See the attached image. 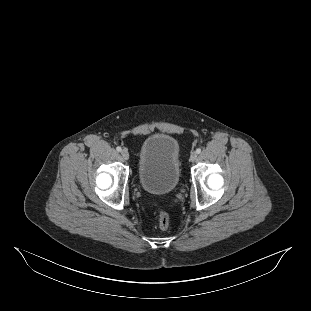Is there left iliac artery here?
I'll return each instance as SVG.
<instances>
[{
	"mask_svg": "<svg viewBox=\"0 0 311 311\" xmlns=\"http://www.w3.org/2000/svg\"><path fill=\"white\" fill-rule=\"evenodd\" d=\"M196 153H197V154L201 153V148H197V149H196Z\"/></svg>",
	"mask_w": 311,
	"mask_h": 311,
	"instance_id": "44dca946",
	"label": "left iliac artery"
}]
</instances>
